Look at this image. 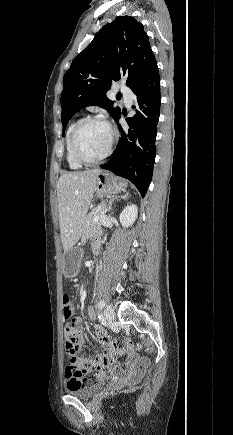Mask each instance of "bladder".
<instances>
[{"label":"bladder","instance_id":"1","mask_svg":"<svg viewBox=\"0 0 233 435\" xmlns=\"http://www.w3.org/2000/svg\"><path fill=\"white\" fill-rule=\"evenodd\" d=\"M104 384L103 380L92 382L86 386L78 387L74 384H66V392L71 396L76 397H92L96 390Z\"/></svg>","mask_w":233,"mask_h":435}]
</instances>
